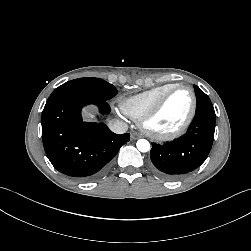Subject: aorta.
<instances>
[{
  "label": "aorta",
  "instance_id": "aorta-1",
  "mask_svg": "<svg viewBox=\"0 0 251 251\" xmlns=\"http://www.w3.org/2000/svg\"><path fill=\"white\" fill-rule=\"evenodd\" d=\"M136 146L140 152H148L150 150V143L145 139L138 140Z\"/></svg>",
  "mask_w": 251,
  "mask_h": 251
}]
</instances>
